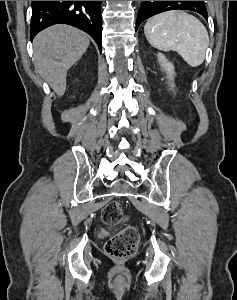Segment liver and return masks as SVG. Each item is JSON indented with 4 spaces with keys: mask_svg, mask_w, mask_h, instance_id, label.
<instances>
[{
    "mask_svg": "<svg viewBox=\"0 0 237 300\" xmlns=\"http://www.w3.org/2000/svg\"><path fill=\"white\" fill-rule=\"evenodd\" d=\"M89 43L86 33L69 25H54L36 35L33 41L34 67L58 97L66 91L68 69L81 59Z\"/></svg>",
    "mask_w": 237,
    "mask_h": 300,
    "instance_id": "6515ba94",
    "label": "liver"
}]
</instances>
